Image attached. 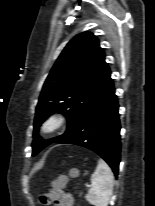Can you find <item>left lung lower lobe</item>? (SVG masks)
Returning <instances> with one entry per match:
<instances>
[{
	"label": "left lung lower lobe",
	"mask_w": 155,
	"mask_h": 206,
	"mask_svg": "<svg viewBox=\"0 0 155 206\" xmlns=\"http://www.w3.org/2000/svg\"><path fill=\"white\" fill-rule=\"evenodd\" d=\"M113 81L87 107L76 125L56 143L86 147L100 155L118 175L120 121Z\"/></svg>",
	"instance_id": "1"
}]
</instances>
